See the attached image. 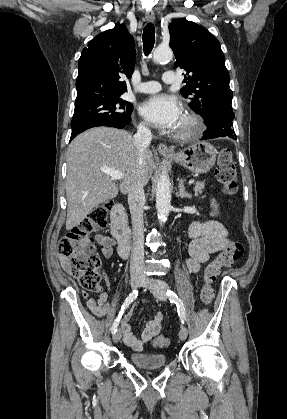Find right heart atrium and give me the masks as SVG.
<instances>
[{
  "mask_svg": "<svg viewBox=\"0 0 287 419\" xmlns=\"http://www.w3.org/2000/svg\"><path fill=\"white\" fill-rule=\"evenodd\" d=\"M139 129H140L141 132H148L149 131L148 125L145 122H141L139 124Z\"/></svg>",
  "mask_w": 287,
  "mask_h": 419,
  "instance_id": "obj_1",
  "label": "right heart atrium"
}]
</instances>
